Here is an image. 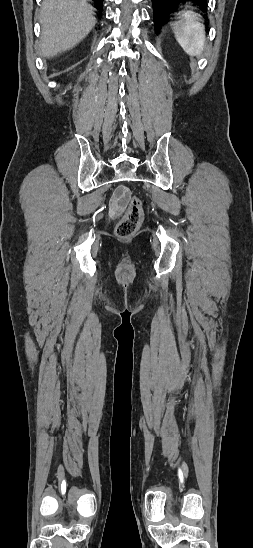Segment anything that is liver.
<instances>
[{"mask_svg":"<svg viewBox=\"0 0 253 548\" xmlns=\"http://www.w3.org/2000/svg\"><path fill=\"white\" fill-rule=\"evenodd\" d=\"M39 22L40 55L50 58L75 47L97 21L86 0H44Z\"/></svg>","mask_w":253,"mask_h":548,"instance_id":"1","label":"liver"}]
</instances>
